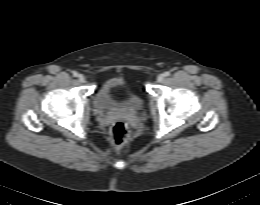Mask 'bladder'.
<instances>
[{
  "mask_svg": "<svg viewBox=\"0 0 260 205\" xmlns=\"http://www.w3.org/2000/svg\"><path fill=\"white\" fill-rule=\"evenodd\" d=\"M121 77H114L104 81L94 96V106L101 113H113L119 110L137 112L142 109V98L133 91H125L120 100L114 98V91L125 87Z\"/></svg>",
  "mask_w": 260,
  "mask_h": 205,
  "instance_id": "bladder-1",
  "label": "bladder"
}]
</instances>
